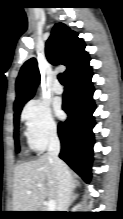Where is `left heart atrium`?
<instances>
[{
  "label": "left heart atrium",
  "instance_id": "left-heart-atrium-1",
  "mask_svg": "<svg viewBox=\"0 0 123 219\" xmlns=\"http://www.w3.org/2000/svg\"><path fill=\"white\" fill-rule=\"evenodd\" d=\"M55 111H56V114H57L58 116H61V115H62V111H61V109H60V105H59V104H56V105H55Z\"/></svg>",
  "mask_w": 123,
  "mask_h": 219
}]
</instances>
